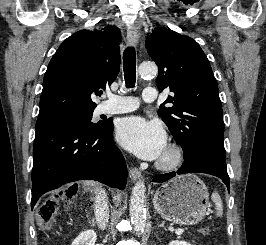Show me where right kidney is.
Wrapping results in <instances>:
<instances>
[{"label":"right kidney","instance_id":"right-kidney-1","mask_svg":"<svg viewBox=\"0 0 266 245\" xmlns=\"http://www.w3.org/2000/svg\"><path fill=\"white\" fill-rule=\"evenodd\" d=\"M96 233L95 231H83L76 239H74L72 245H95Z\"/></svg>","mask_w":266,"mask_h":245}]
</instances>
